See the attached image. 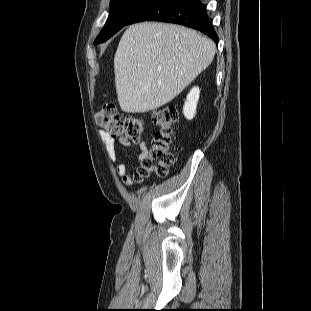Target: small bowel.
Returning <instances> with one entry per match:
<instances>
[{
	"mask_svg": "<svg viewBox=\"0 0 311 311\" xmlns=\"http://www.w3.org/2000/svg\"><path fill=\"white\" fill-rule=\"evenodd\" d=\"M99 136L105 144L106 153L109 159L116 164L117 175L122 179L124 185L130 186L133 182L137 180V171H129L128 166L125 162H117V143L122 146H132V143L125 138H119L118 140H116L113 136L103 130L99 131ZM137 146L140 150L138 160L141 162L147 152V147L145 142H140L137 144Z\"/></svg>",
	"mask_w": 311,
	"mask_h": 311,
	"instance_id": "1",
	"label": "small bowel"
}]
</instances>
